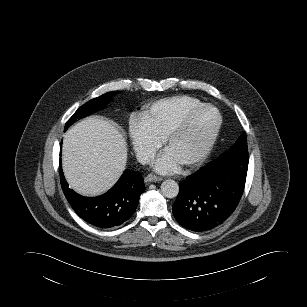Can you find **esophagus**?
<instances>
[{
    "label": "esophagus",
    "mask_w": 307,
    "mask_h": 307,
    "mask_svg": "<svg viewBox=\"0 0 307 307\" xmlns=\"http://www.w3.org/2000/svg\"><path fill=\"white\" fill-rule=\"evenodd\" d=\"M163 178L162 177H159V176H156L154 174H148L146 177H145V182H160L162 181Z\"/></svg>",
    "instance_id": "esophagus-1"
}]
</instances>
